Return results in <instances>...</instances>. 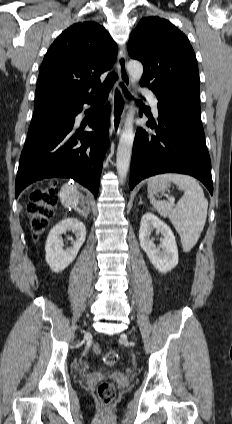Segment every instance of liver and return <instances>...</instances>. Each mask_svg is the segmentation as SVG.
I'll use <instances>...</instances> for the list:
<instances>
[{
	"instance_id": "obj_1",
	"label": "liver",
	"mask_w": 232,
	"mask_h": 424,
	"mask_svg": "<svg viewBox=\"0 0 232 424\" xmlns=\"http://www.w3.org/2000/svg\"><path fill=\"white\" fill-rule=\"evenodd\" d=\"M60 201L65 208H74L79 202V191L76 185H63L60 190Z\"/></svg>"
}]
</instances>
